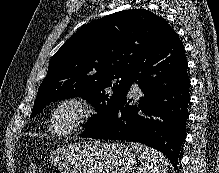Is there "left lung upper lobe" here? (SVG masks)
Wrapping results in <instances>:
<instances>
[{
	"label": "left lung upper lobe",
	"instance_id": "1",
	"mask_svg": "<svg viewBox=\"0 0 219 173\" xmlns=\"http://www.w3.org/2000/svg\"><path fill=\"white\" fill-rule=\"evenodd\" d=\"M173 31L149 10L132 9L90 22L50 59L31 118L51 101L79 96L97 109L83 133L105 124L131 87L138 60Z\"/></svg>",
	"mask_w": 219,
	"mask_h": 173
}]
</instances>
